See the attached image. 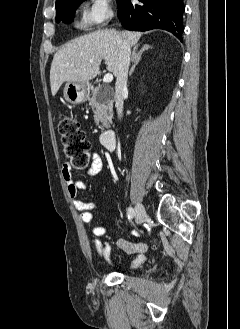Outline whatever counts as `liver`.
Masks as SVG:
<instances>
[{"label":"liver","mask_w":240,"mask_h":329,"mask_svg":"<svg viewBox=\"0 0 240 329\" xmlns=\"http://www.w3.org/2000/svg\"><path fill=\"white\" fill-rule=\"evenodd\" d=\"M141 35L139 32L98 30L60 48L53 57L50 69L52 95H56L64 82L88 83L94 79L99 73L102 59L107 70L116 75L120 48L118 38L123 37L130 46L136 47Z\"/></svg>","instance_id":"obj_1"}]
</instances>
